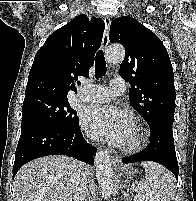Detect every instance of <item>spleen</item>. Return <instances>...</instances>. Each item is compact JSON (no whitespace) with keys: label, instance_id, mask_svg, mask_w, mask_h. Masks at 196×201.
<instances>
[{"label":"spleen","instance_id":"3e777b00","mask_svg":"<svg viewBox=\"0 0 196 201\" xmlns=\"http://www.w3.org/2000/svg\"><path fill=\"white\" fill-rule=\"evenodd\" d=\"M146 176L137 186L135 201H174L176 198L175 178L163 166L147 161L141 163Z\"/></svg>","mask_w":196,"mask_h":201}]
</instances>
